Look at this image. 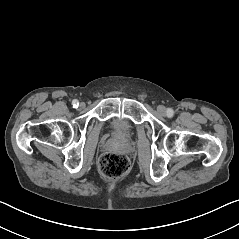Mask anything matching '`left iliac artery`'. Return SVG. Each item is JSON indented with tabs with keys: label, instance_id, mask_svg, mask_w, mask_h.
Instances as JSON below:
<instances>
[{
	"label": "left iliac artery",
	"instance_id": "obj_1",
	"mask_svg": "<svg viewBox=\"0 0 239 239\" xmlns=\"http://www.w3.org/2000/svg\"><path fill=\"white\" fill-rule=\"evenodd\" d=\"M173 114H174V111H173V109H171V108H168V109H167V116H168V117H172V116H173Z\"/></svg>",
	"mask_w": 239,
	"mask_h": 239
}]
</instances>
